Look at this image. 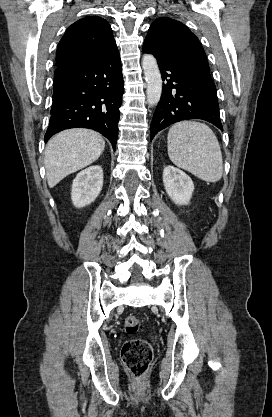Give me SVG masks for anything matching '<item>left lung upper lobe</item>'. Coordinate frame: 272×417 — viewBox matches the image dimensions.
Wrapping results in <instances>:
<instances>
[{
	"instance_id": "obj_1",
	"label": "left lung upper lobe",
	"mask_w": 272,
	"mask_h": 417,
	"mask_svg": "<svg viewBox=\"0 0 272 417\" xmlns=\"http://www.w3.org/2000/svg\"><path fill=\"white\" fill-rule=\"evenodd\" d=\"M143 49L156 58L176 59L209 71L200 41L179 21L166 17L156 19L150 26Z\"/></svg>"
}]
</instances>
